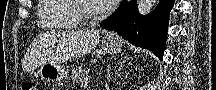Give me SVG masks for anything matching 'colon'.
Returning <instances> with one entry per match:
<instances>
[{
  "instance_id": "colon-1",
  "label": "colon",
  "mask_w": 216,
  "mask_h": 90,
  "mask_svg": "<svg viewBox=\"0 0 216 90\" xmlns=\"http://www.w3.org/2000/svg\"><path fill=\"white\" fill-rule=\"evenodd\" d=\"M22 90H36V87L33 83L26 82V83H23Z\"/></svg>"
}]
</instances>
